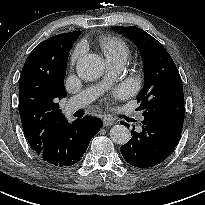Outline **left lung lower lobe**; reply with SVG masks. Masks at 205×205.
<instances>
[{
  "instance_id": "0a47b994",
  "label": "left lung lower lobe",
  "mask_w": 205,
  "mask_h": 205,
  "mask_svg": "<svg viewBox=\"0 0 205 205\" xmlns=\"http://www.w3.org/2000/svg\"><path fill=\"white\" fill-rule=\"evenodd\" d=\"M185 107L161 108L144 117L142 131H132V138L120 151L130 165L149 168L164 161L177 146L184 122ZM127 126V123H123Z\"/></svg>"
}]
</instances>
